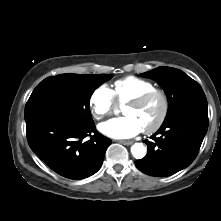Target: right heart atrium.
<instances>
[{
	"mask_svg": "<svg viewBox=\"0 0 221 221\" xmlns=\"http://www.w3.org/2000/svg\"><path fill=\"white\" fill-rule=\"evenodd\" d=\"M89 105L92 116L96 120L103 119L116 107L113 91L106 84L98 86L90 96Z\"/></svg>",
	"mask_w": 221,
	"mask_h": 221,
	"instance_id": "obj_1",
	"label": "right heart atrium"
}]
</instances>
